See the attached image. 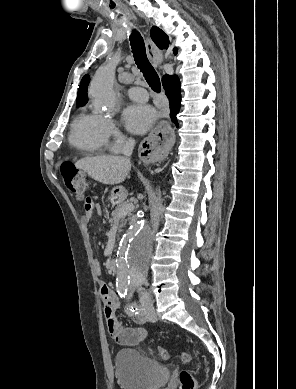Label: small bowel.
<instances>
[{
	"label": "small bowel",
	"instance_id": "1",
	"mask_svg": "<svg viewBox=\"0 0 296 389\" xmlns=\"http://www.w3.org/2000/svg\"><path fill=\"white\" fill-rule=\"evenodd\" d=\"M82 223L87 227L94 213L101 214V207L88 198L83 206ZM100 295L104 304V315L107 323V330L116 343L124 346H134L142 342L146 337V330L142 327H124L117 320L119 299L116 293L107 285L100 288Z\"/></svg>",
	"mask_w": 296,
	"mask_h": 389
}]
</instances>
